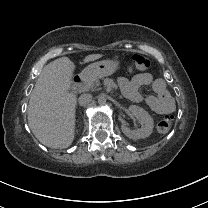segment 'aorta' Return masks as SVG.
Masks as SVG:
<instances>
[{
  "label": "aorta",
  "instance_id": "aorta-1",
  "mask_svg": "<svg viewBox=\"0 0 208 208\" xmlns=\"http://www.w3.org/2000/svg\"><path fill=\"white\" fill-rule=\"evenodd\" d=\"M105 101H106V96H105V95H100V96H99L98 103H99L100 105H103V104L105 103Z\"/></svg>",
  "mask_w": 208,
  "mask_h": 208
}]
</instances>
